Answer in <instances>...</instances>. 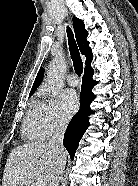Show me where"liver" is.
Here are the masks:
<instances>
[{"label":"liver","mask_w":138,"mask_h":186,"mask_svg":"<svg viewBox=\"0 0 138 186\" xmlns=\"http://www.w3.org/2000/svg\"><path fill=\"white\" fill-rule=\"evenodd\" d=\"M58 153L47 142H28L14 148L5 165L2 186H33L34 180L47 186L48 175ZM66 158V151H64Z\"/></svg>","instance_id":"6515ba94"}]
</instances>
